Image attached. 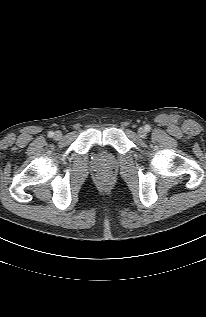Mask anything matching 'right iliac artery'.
I'll return each mask as SVG.
<instances>
[{"instance_id": "82829eb1", "label": "right iliac artery", "mask_w": 206, "mask_h": 317, "mask_svg": "<svg viewBox=\"0 0 206 317\" xmlns=\"http://www.w3.org/2000/svg\"><path fill=\"white\" fill-rule=\"evenodd\" d=\"M48 136H49V137H53V136H54V132H53V131H49V132H48Z\"/></svg>"}]
</instances>
